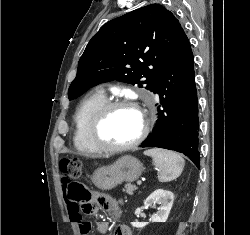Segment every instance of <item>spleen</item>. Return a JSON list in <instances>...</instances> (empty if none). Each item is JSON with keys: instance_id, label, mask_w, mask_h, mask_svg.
Wrapping results in <instances>:
<instances>
[{"instance_id": "spleen-1", "label": "spleen", "mask_w": 250, "mask_h": 235, "mask_svg": "<svg viewBox=\"0 0 250 235\" xmlns=\"http://www.w3.org/2000/svg\"><path fill=\"white\" fill-rule=\"evenodd\" d=\"M150 156L155 167L158 169V180L160 182H169L177 177L183 171L185 161L177 153L160 148H152L144 152Z\"/></svg>"}]
</instances>
